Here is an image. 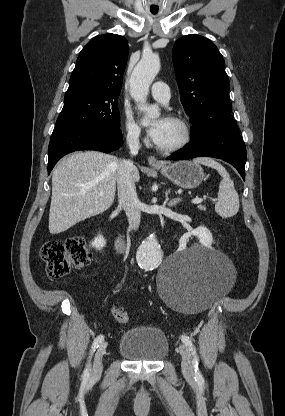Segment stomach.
Segmentation results:
<instances>
[{"label":"stomach","instance_id":"0dacf381","mask_svg":"<svg viewBox=\"0 0 285 416\" xmlns=\"http://www.w3.org/2000/svg\"><path fill=\"white\" fill-rule=\"evenodd\" d=\"M158 168V166H155ZM159 170L162 176L171 180L176 186L180 188H197L201 182L204 180V172L195 162H175V164H169V166H159Z\"/></svg>","mask_w":285,"mask_h":416}]
</instances>
